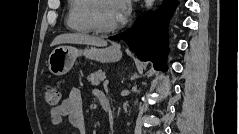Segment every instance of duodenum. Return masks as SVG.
Listing matches in <instances>:
<instances>
[{
	"instance_id": "duodenum-1",
	"label": "duodenum",
	"mask_w": 239,
	"mask_h": 134,
	"mask_svg": "<svg viewBox=\"0 0 239 134\" xmlns=\"http://www.w3.org/2000/svg\"><path fill=\"white\" fill-rule=\"evenodd\" d=\"M100 103L102 105V108L108 112L110 110L111 107V101L109 99V97L106 94H102L100 97Z\"/></svg>"
}]
</instances>
